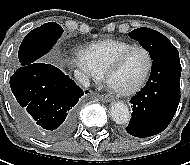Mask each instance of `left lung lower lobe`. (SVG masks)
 Listing matches in <instances>:
<instances>
[{
  "mask_svg": "<svg viewBox=\"0 0 190 165\" xmlns=\"http://www.w3.org/2000/svg\"><path fill=\"white\" fill-rule=\"evenodd\" d=\"M181 64L177 50L166 52L152 62L146 86L131 99L132 114L127 133L150 137L167 128L180 101Z\"/></svg>",
  "mask_w": 190,
  "mask_h": 165,
  "instance_id": "obj_1",
  "label": "left lung lower lobe"
}]
</instances>
